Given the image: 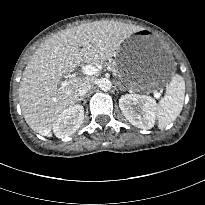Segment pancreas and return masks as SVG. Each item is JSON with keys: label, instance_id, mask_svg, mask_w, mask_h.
I'll return each instance as SVG.
<instances>
[{"label": "pancreas", "instance_id": "pancreas-1", "mask_svg": "<svg viewBox=\"0 0 205 205\" xmlns=\"http://www.w3.org/2000/svg\"><path fill=\"white\" fill-rule=\"evenodd\" d=\"M110 67H111V71H112L113 73H118V74H119V71H118V67H117V66H115V65H113V64H110Z\"/></svg>", "mask_w": 205, "mask_h": 205}]
</instances>
